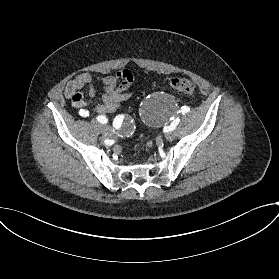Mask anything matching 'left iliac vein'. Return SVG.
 I'll list each match as a JSON object with an SVG mask.
<instances>
[{"instance_id": "left-iliac-vein-1", "label": "left iliac vein", "mask_w": 279, "mask_h": 279, "mask_svg": "<svg viewBox=\"0 0 279 279\" xmlns=\"http://www.w3.org/2000/svg\"><path fill=\"white\" fill-rule=\"evenodd\" d=\"M166 138L170 141L173 140L175 138V133L173 131L168 132Z\"/></svg>"}]
</instances>
